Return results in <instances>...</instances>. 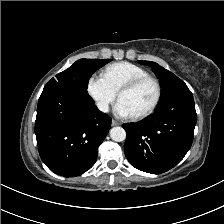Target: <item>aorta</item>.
I'll list each match as a JSON object with an SVG mask.
<instances>
[{"label": "aorta", "mask_w": 224, "mask_h": 224, "mask_svg": "<svg viewBox=\"0 0 224 224\" xmlns=\"http://www.w3.org/2000/svg\"><path fill=\"white\" fill-rule=\"evenodd\" d=\"M110 137L116 142L124 141L126 139V131L122 127H113L110 130Z\"/></svg>", "instance_id": "aorta-1"}]
</instances>
